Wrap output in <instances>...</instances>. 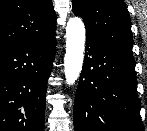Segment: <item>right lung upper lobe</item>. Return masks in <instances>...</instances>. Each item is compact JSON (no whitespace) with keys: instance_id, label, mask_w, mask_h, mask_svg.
Instances as JSON below:
<instances>
[{"instance_id":"cb5924a9","label":"right lung upper lobe","mask_w":147,"mask_h":131,"mask_svg":"<svg viewBox=\"0 0 147 131\" xmlns=\"http://www.w3.org/2000/svg\"><path fill=\"white\" fill-rule=\"evenodd\" d=\"M55 30L51 0H0V53L47 38Z\"/></svg>"}]
</instances>
